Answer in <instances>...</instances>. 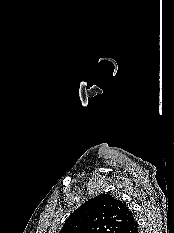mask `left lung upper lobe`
Wrapping results in <instances>:
<instances>
[{"instance_id": "1", "label": "left lung upper lobe", "mask_w": 174, "mask_h": 233, "mask_svg": "<svg viewBox=\"0 0 174 233\" xmlns=\"http://www.w3.org/2000/svg\"><path fill=\"white\" fill-rule=\"evenodd\" d=\"M133 221V213L125 203L104 193L76 209L60 233H121Z\"/></svg>"}]
</instances>
